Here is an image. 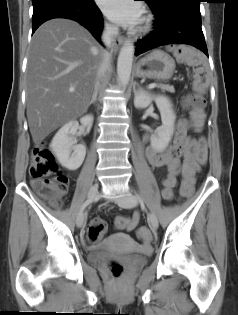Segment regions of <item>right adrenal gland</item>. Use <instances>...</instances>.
I'll return each mask as SVG.
<instances>
[{
    "label": "right adrenal gland",
    "instance_id": "1",
    "mask_svg": "<svg viewBox=\"0 0 238 315\" xmlns=\"http://www.w3.org/2000/svg\"><path fill=\"white\" fill-rule=\"evenodd\" d=\"M98 90H99V88H96V90L94 91V94H93V96H92V99H91L89 105H91V104H93V103L96 102V100H97V95H98Z\"/></svg>",
    "mask_w": 238,
    "mask_h": 315
}]
</instances>
